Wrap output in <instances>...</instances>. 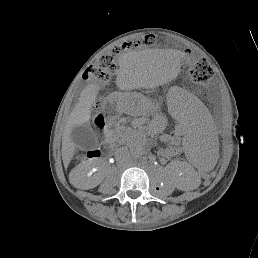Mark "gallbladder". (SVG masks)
Returning <instances> with one entry per match:
<instances>
[{"label": "gallbladder", "instance_id": "1", "mask_svg": "<svg viewBox=\"0 0 258 258\" xmlns=\"http://www.w3.org/2000/svg\"><path fill=\"white\" fill-rule=\"evenodd\" d=\"M72 141L81 149L88 150L97 146V137L90 125L75 126L71 132Z\"/></svg>", "mask_w": 258, "mask_h": 258}]
</instances>
